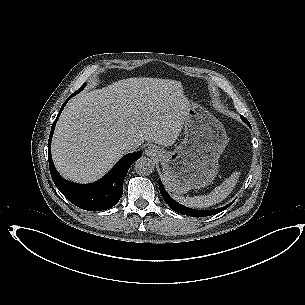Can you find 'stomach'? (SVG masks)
I'll return each mask as SVG.
<instances>
[{
  "instance_id": "1",
  "label": "stomach",
  "mask_w": 305,
  "mask_h": 305,
  "mask_svg": "<svg viewBox=\"0 0 305 305\" xmlns=\"http://www.w3.org/2000/svg\"><path fill=\"white\" fill-rule=\"evenodd\" d=\"M227 141L226 130L216 117L198 104L188 105L183 140L174 151L162 152L159 157L166 188L174 194H185L211 184Z\"/></svg>"
}]
</instances>
